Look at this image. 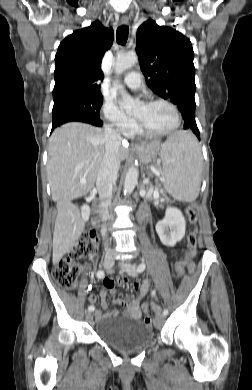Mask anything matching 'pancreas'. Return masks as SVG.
Instances as JSON below:
<instances>
[{"label": "pancreas", "mask_w": 252, "mask_h": 390, "mask_svg": "<svg viewBox=\"0 0 252 390\" xmlns=\"http://www.w3.org/2000/svg\"><path fill=\"white\" fill-rule=\"evenodd\" d=\"M171 202H172V201H170V200H169V201H168V202H166V203H171ZM157 205H158V204H157ZM160 207H162V205H160Z\"/></svg>", "instance_id": "obj_1"}]
</instances>
